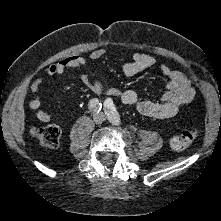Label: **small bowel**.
Masks as SVG:
<instances>
[{"instance_id":"1","label":"small bowel","mask_w":221,"mask_h":221,"mask_svg":"<svg viewBox=\"0 0 221 221\" xmlns=\"http://www.w3.org/2000/svg\"><path fill=\"white\" fill-rule=\"evenodd\" d=\"M105 54L103 49H97L89 54L92 60L101 59ZM86 58L77 54L66 57L61 61L48 66L31 84L30 90L33 98L29 101V107L35 111V116L42 122H52L57 120L42 109L38 91L43 81L50 76L63 74L67 70L83 66ZM155 65V59L144 53H134L131 61L122 65V73L126 76H135L138 73L149 69ZM161 73L167 78L166 91L160 101L141 100L134 90L121 91L116 88L106 87L100 80H92L87 74L81 76L83 84L96 96L110 95L120 98L129 106H133L139 113L155 117L169 118L176 115L179 109L191 102L196 94L195 87L190 79L181 71L175 70L166 64L160 65Z\"/></svg>"}]
</instances>
